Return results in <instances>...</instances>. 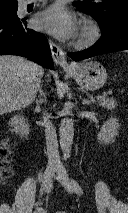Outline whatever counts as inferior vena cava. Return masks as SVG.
Returning a JSON list of instances; mask_svg holds the SVG:
<instances>
[{
    "label": "inferior vena cava",
    "instance_id": "1",
    "mask_svg": "<svg viewBox=\"0 0 128 213\" xmlns=\"http://www.w3.org/2000/svg\"><path fill=\"white\" fill-rule=\"evenodd\" d=\"M43 121L45 126L48 164L51 167H60L62 164L58 152L57 136L54 125L50 120V116L46 113H44Z\"/></svg>",
    "mask_w": 128,
    "mask_h": 213
}]
</instances>
